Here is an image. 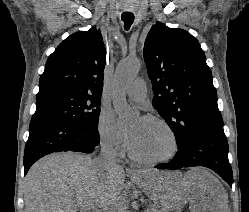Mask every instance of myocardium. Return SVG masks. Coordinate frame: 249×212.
<instances>
[{
  "label": "myocardium",
  "mask_w": 249,
  "mask_h": 212,
  "mask_svg": "<svg viewBox=\"0 0 249 212\" xmlns=\"http://www.w3.org/2000/svg\"><path fill=\"white\" fill-rule=\"evenodd\" d=\"M143 120L149 121V122H156L163 126L167 132L170 134L172 140H173V150L172 152L164 157L159 159H145L140 156H138L134 151L130 148L129 153L132 160H134L137 163L143 164V165H149V166H155V165H162L165 163H168L172 161L179 153L180 151V142L178 139V136L172 126L163 118L155 116V115H145L142 117Z\"/></svg>",
  "instance_id": "obj_1"
}]
</instances>
